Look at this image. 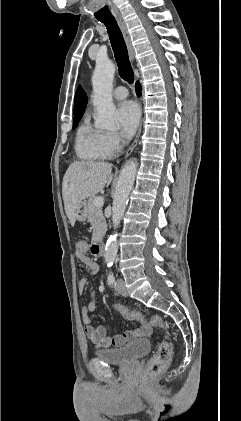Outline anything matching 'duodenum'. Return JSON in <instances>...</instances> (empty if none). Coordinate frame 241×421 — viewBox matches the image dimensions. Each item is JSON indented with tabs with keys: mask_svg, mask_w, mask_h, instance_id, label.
<instances>
[{
	"mask_svg": "<svg viewBox=\"0 0 241 421\" xmlns=\"http://www.w3.org/2000/svg\"><path fill=\"white\" fill-rule=\"evenodd\" d=\"M105 250V243L103 239L98 238L96 239L91 245V252L93 255L100 257L104 254Z\"/></svg>",
	"mask_w": 241,
	"mask_h": 421,
	"instance_id": "duodenum-1",
	"label": "duodenum"
}]
</instances>
